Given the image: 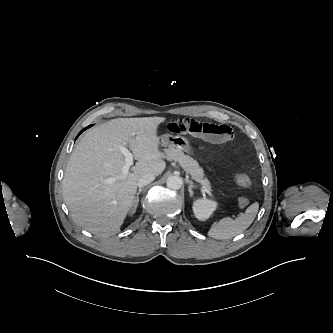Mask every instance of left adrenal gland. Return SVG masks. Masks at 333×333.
Returning <instances> with one entry per match:
<instances>
[{"mask_svg": "<svg viewBox=\"0 0 333 333\" xmlns=\"http://www.w3.org/2000/svg\"><path fill=\"white\" fill-rule=\"evenodd\" d=\"M186 182L189 184V186H188L189 195H190V197H193V191H192V189L196 188V187L193 185L192 181L187 180Z\"/></svg>", "mask_w": 333, "mask_h": 333, "instance_id": "left-adrenal-gland-1", "label": "left adrenal gland"}]
</instances>
